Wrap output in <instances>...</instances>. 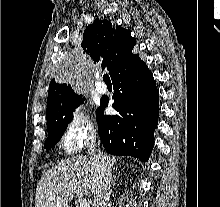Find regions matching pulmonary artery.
<instances>
[{"label": "pulmonary artery", "instance_id": "e3ab8cb5", "mask_svg": "<svg viewBox=\"0 0 220 207\" xmlns=\"http://www.w3.org/2000/svg\"><path fill=\"white\" fill-rule=\"evenodd\" d=\"M96 91L99 94H105L107 89H106V86L104 84L98 83V84H96Z\"/></svg>", "mask_w": 220, "mask_h": 207}]
</instances>
